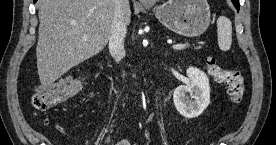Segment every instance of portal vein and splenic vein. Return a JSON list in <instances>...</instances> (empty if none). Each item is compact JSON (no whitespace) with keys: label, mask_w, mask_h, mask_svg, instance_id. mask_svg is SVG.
<instances>
[{"label":"portal vein and splenic vein","mask_w":276,"mask_h":145,"mask_svg":"<svg viewBox=\"0 0 276 145\" xmlns=\"http://www.w3.org/2000/svg\"><path fill=\"white\" fill-rule=\"evenodd\" d=\"M88 37L87 36H83V40H86ZM173 49L175 50H182V49H185L186 45L185 44H176V45H173L172 46Z\"/></svg>","instance_id":"18ae733b"}]
</instances>
